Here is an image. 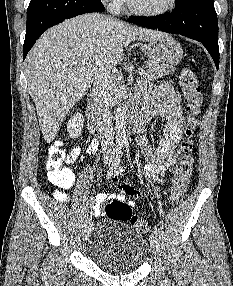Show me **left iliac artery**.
Returning <instances> with one entry per match:
<instances>
[{
    "label": "left iliac artery",
    "mask_w": 233,
    "mask_h": 286,
    "mask_svg": "<svg viewBox=\"0 0 233 286\" xmlns=\"http://www.w3.org/2000/svg\"><path fill=\"white\" fill-rule=\"evenodd\" d=\"M153 232H154V234H156L157 236H160V230H159V228H158L157 226H154V227H153Z\"/></svg>",
    "instance_id": "obj_1"
}]
</instances>
